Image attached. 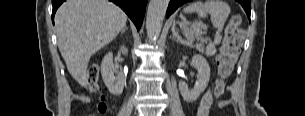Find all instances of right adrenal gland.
<instances>
[{
    "instance_id": "1",
    "label": "right adrenal gland",
    "mask_w": 305,
    "mask_h": 116,
    "mask_svg": "<svg viewBox=\"0 0 305 116\" xmlns=\"http://www.w3.org/2000/svg\"><path fill=\"white\" fill-rule=\"evenodd\" d=\"M127 29H128V27H124L121 31V34H123Z\"/></svg>"
}]
</instances>
